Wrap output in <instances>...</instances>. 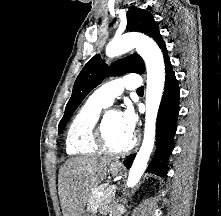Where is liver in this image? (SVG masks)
<instances>
[{"instance_id": "1", "label": "liver", "mask_w": 221, "mask_h": 216, "mask_svg": "<svg viewBox=\"0 0 221 216\" xmlns=\"http://www.w3.org/2000/svg\"><path fill=\"white\" fill-rule=\"evenodd\" d=\"M109 157L81 156L65 162L60 169L58 193L63 216H81L90 196L106 177Z\"/></svg>"}]
</instances>
